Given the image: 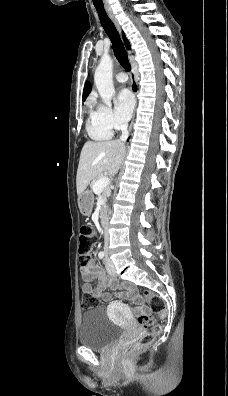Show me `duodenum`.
Returning a JSON list of instances; mask_svg holds the SVG:
<instances>
[{
  "label": "duodenum",
  "mask_w": 228,
  "mask_h": 396,
  "mask_svg": "<svg viewBox=\"0 0 228 396\" xmlns=\"http://www.w3.org/2000/svg\"><path fill=\"white\" fill-rule=\"evenodd\" d=\"M99 224L104 228V230L106 229V208L102 207L99 213Z\"/></svg>",
  "instance_id": "obj_1"
}]
</instances>
